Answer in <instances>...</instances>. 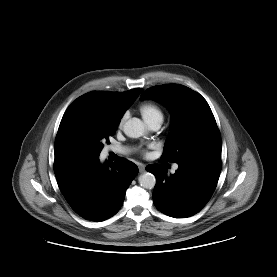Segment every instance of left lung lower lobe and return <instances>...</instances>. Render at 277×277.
Returning a JSON list of instances; mask_svg holds the SVG:
<instances>
[{
    "label": "left lung lower lobe",
    "mask_w": 277,
    "mask_h": 277,
    "mask_svg": "<svg viewBox=\"0 0 277 277\" xmlns=\"http://www.w3.org/2000/svg\"><path fill=\"white\" fill-rule=\"evenodd\" d=\"M178 170H167L151 164L146 170L157 180L153 202L162 213L186 218L198 213L210 200L221 172V153H205L178 162Z\"/></svg>",
    "instance_id": "1"
}]
</instances>
